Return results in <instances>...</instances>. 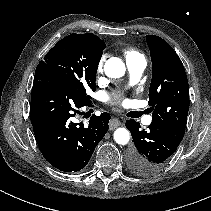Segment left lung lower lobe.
Here are the masks:
<instances>
[{
  "mask_svg": "<svg viewBox=\"0 0 211 211\" xmlns=\"http://www.w3.org/2000/svg\"><path fill=\"white\" fill-rule=\"evenodd\" d=\"M134 146L128 152L130 170L139 176H150L160 172L177 150L179 143L173 141L152 125L141 130L135 120H127Z\"/></svg>",
  "mask_w": 211,
  "mask_h": 211,
  "instance_id": "left-lung-lower-lobe-1",
  "label": "left lung lower lobe"
}]
</instances>
